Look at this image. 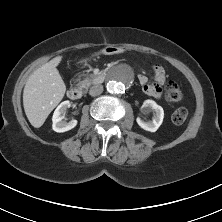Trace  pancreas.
<instances>
[{
  "label": "pancreas",
  "instance_id": "pancreas-1",
  "mask_svg": "<svg viewBox=\"0 0 222 222\" xmlns=\"http://www.w3.org/2000/svg\"><path fill=\"white\" fill-rule=\"evenodd\" d=\"M94 80H95V75L90 74L86 78H84V80L79 81L77 86L79 88L87 89L91 84H93Z\"/></svg>",
  "mask_w": 222,
  "mask_h": 222
}]
</instances>
